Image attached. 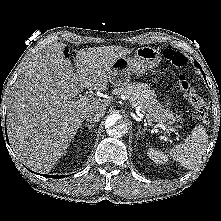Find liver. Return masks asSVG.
Instances as JSON below:
<instances>
[{"instance_id":"liver-1","label":"liver","mask_w":221,"mask_h":221,"mask_svg":"<svg viewBox=\"0 0 221 221\" xmlns=\"http://www.w3.org/2000/svg\"><path fill=\"white\" fill-rule=\"evenodd\" d=\"M65 44L54 43L21 71L7 105V132L15 154L29 167L49 172L66 153L91 109L106 110L112 102L76 97L85 88L106 91L110 69L132 49L122 46L84 48L74 65Z\"/></svg>"}]
</instances>
